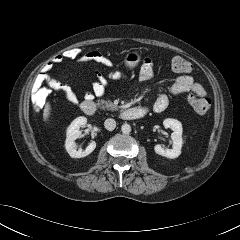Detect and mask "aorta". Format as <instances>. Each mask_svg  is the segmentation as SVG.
Listing matches in <instances>:
<instances>
[{
	"instance_id": "1",
	"label": "aorta",
	"mask_w": 240,
	"mask_h": 240,
	"mask_svg": "<svg viewBox=\"0 0 240 240\" xmlns=\"http://www.w3.org/2000/svg\"><path fill=\"white\" fill-rule=\"evenodd\" d=\"M121 131L124 134H129L131 132V126L129 124H123L121 126Z\"/></svg>"
}]
</instances>
